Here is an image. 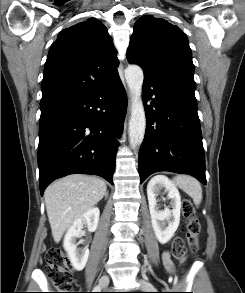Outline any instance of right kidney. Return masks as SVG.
Returning a JSON list of instances; mask_svg holds the SVG:
<instances>
[{
	"label": "right kidney",
	"instance_id": "1",
	"mask_svg": "<svg viewBox=\"0 0 245 293\" xmlns=\"http://www.w3.org/2000/svg\"><path fill=\"white\" fill-rule=\"evenodd\" d=\"M99 216V209L97 207L91 208L76 219L65 234L63 247L68 254L73 268L77 271L83 270L86 266L89 257V249L87 247L77 248L76 238L80 237L83 224L87 225L89 232H94L98 226Z\"/></svg>",
	"mask_w": 245,
	"mask_h": 293
}]
</instances>
